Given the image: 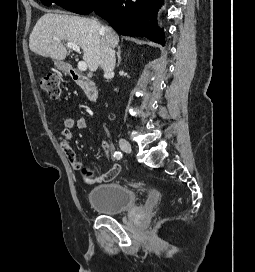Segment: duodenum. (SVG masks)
I'll use <instances>...</instances> for the list:
<instances>
[{
  "mask_svg": "<svg viewBox=\"0 0 255 272\" xmlns=\"http://www.w3.org/2000/svg\"><path fill=\"white\" fill-rule=\"evenodd\" d=\"M63 69L71 77L75 84H77L83 91L88 100L95 102L99 98L97 86L87 76L80 74L74 67L70 65H63Z\"/></svg>",
  "mask_w": 255,
  "mask_h": 272,
  "instance_id": "1",
  "label": "duodenum"
}]
</instances>
